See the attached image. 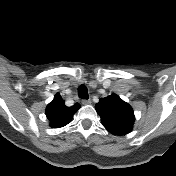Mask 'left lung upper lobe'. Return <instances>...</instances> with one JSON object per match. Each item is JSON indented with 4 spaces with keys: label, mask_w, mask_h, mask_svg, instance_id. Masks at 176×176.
<instances>
[{
    "label": "left lung upper lobe",
    "mask_w": 176,
    "mask_h": 176,
    "mask_svg": "<svg viewBox=\"0 0 176 176\" xmlns=\"http://www.w3.org/2000/svg\"><path fill=\"white\" fill-rule=\"evenodd\" d=\"M104 127L114 135H125L131 132L135 116L131 106L118 95L100 99L95 105Z\"/></svg>",
    "instance_id": "left-lung-upper-lobe-1"
}]
</instances>
